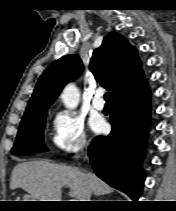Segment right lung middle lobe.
<instances>
[{
	"label": "right lung middle lobe",
	"mask_w": 176,
	"mask_h": 211,
	"mask_svg": "<svg viewBox=\"0 0 176 211\" xmlns=\"http://www.w3.org/2000/svg\"><path fill=\"white\" fill-rule=\"evenodd\" d=\"M47 110L23 118L18 135L11 152L17 155H28L47 151L44 144L43 131Z\"/></svg>",
	"instance_id": "dd1d6c3e"
}]
</instances>
